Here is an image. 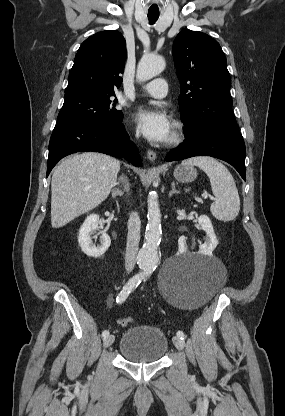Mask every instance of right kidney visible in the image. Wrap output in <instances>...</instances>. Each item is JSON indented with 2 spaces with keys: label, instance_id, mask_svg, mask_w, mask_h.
<instances>
[{
  "label": "right kidney",
  "instance_id": "right-kidney-1",
  "mask_svg": "<svg viewBox=\"0 0 285 416\" xmlns=\"http://www.w3.org/2000/svg\"><path fill=\"white\" fill-rule=\"evenodd\" d=\"M98 220L99 216H97V214H90V216H87L78 234V242L82 252H84L86 256H92V258H100V256H103V254H105L106 250H108L111 244V240L108 234L98 232V234H101V246H99V248H96V246H94L91 234H94V232L98 230Z\"/></svg>",
  "mask_w": 285,
  "mask_h": 416
}]
</instances>
